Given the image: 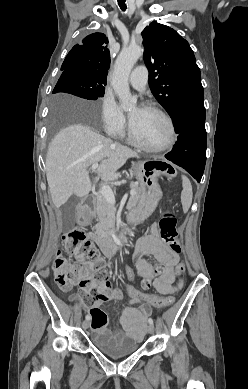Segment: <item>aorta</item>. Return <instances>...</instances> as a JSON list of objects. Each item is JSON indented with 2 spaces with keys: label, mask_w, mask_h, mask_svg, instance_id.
I'll list each match as a JSON object with an SVG mask.
<instances>
[{
  "label": "aorta",
  "mask_w": 248,
  "mask_h": 389,
  "mask_svg": "<svg viewBox=\"0 0 248 389\" xmlns=\"http://www.w3.org/2000/svg\"><path fill=\"white\" fill-rule=\"evenodd\" d=\"M141 55L140 46H128L122 49L115 61L111 85L121 102V107L126 111L133 109L137 103V98L131 95L128 79L134 64Z\"/></svg>",
  "instance_id": "aorta-1"
}]
</instances>
